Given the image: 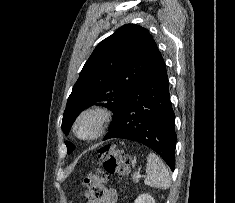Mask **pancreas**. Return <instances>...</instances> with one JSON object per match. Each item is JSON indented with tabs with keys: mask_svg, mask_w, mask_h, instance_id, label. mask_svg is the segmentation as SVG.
Wrapping results in <instances>:
<instances>
[{
	"mask_svg": "<svg viewBox=\"0 0 235 203\" xmlns=\"http://www.w3.org/2000/svg\"><path fill=\"white\" fill-rule=\"evenodd\" d=\"M133 181L136 182V183H138V182H139V177L136 176V175H134V176H133Z\"/></svg>",
	"mask_w": 235,
	"mask_h": 203,
	"instance_id": "cf45deb5",
	"label": "pancreas"
}]
</instances>
